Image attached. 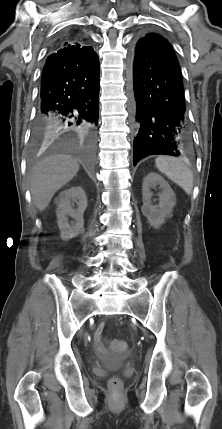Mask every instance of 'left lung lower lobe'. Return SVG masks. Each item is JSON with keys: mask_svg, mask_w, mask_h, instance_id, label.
<instances>
[{"mask_svg": "<svg viewBox=\"0 0 222 429\" xmlns=\"http://www.w3.org/2000/svg\"><path fill=\"white\" fill-rule=\"evenodd\" d=\"M134 166L150 155L179 156L190 148L182 75L161 35L137 40L130 53Z\"/></svg>", "mask_w": 222, "mask_h": 429, "instance_id": "1", "label": "left lung lower lobe"}]
</instances>
